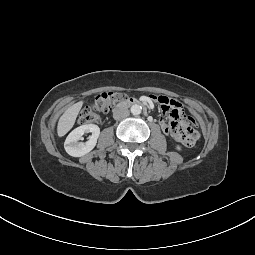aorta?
I'll use <instances>...</instances> for the list:
<instances>
[{"instance_id":"aorta-1","label":"aorta","mask_w":255,"mask_h":255,"mask_svg":"<svg viewBox=\"0 0 255 255\" xmlns=\"http://www.w3.org/2000/svg\"><path fill=\"white\" fill-rule=\"evenodd\" d=\"M130 110L133 115H139L142 111V107L138 104H134L131 106Z\"/></svg>"}]
</instances>
